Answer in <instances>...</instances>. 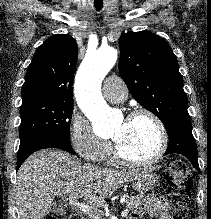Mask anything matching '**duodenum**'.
Here are the masks:
<instances>
[{
	"label": "duodenum",
	"instance_id": "410a0bca",
	"mask_svg": "<svg viewBox=\"0 0 211 219\" xmlns=\"http://www.w3.org/2000/svg\"><path fill=\"white\" fill-rule=\"evenodd\" d=\"M73 219H84V218L80 215H73Z\"/></svg>",
	"mask_w": 211,
	"mask_h": 219
}]
</instances>
